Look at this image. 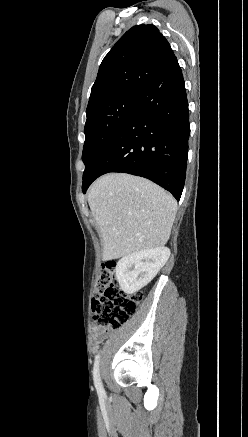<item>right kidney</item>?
Listing matches in <instances>:
<instances>
[{
    "label": "right kidney",
    "mask_w": 248,
    "mask_h": 437,
    "mask_svg": "<svg viewBox=\"0 0 248 437\" xmlns=\"http://www.w3.org/2000/svg\"><path fill=\"white\" fill-rule=\"evenodd\" d=\"M169 256L170 249L164 246L124 256L115 269L120 288L126 294L138 292L157 275Z\"/></svg>",
    "instance_id": "1"
}]
</instances>
